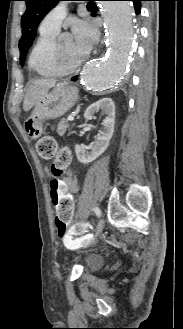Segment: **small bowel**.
Here are the masks:
<instances>
[{
    "label": "small bowel",
    "mask_w": 183,
    "mask_h": 329,
    "mask_svg": "<svg viewBox=\"0 0 183 329\" xmlns=\"http://www.w3.org/2000/svg\"><path fill=\"white\" fill-rule=\"evenodd\" d=\"M47 189L54 208V218H75L77 201L75 193L78 192L79 186L75 179L67 177L49 178ZM84 237L69 236L62 240L68 249H76Z\"/></svg>",
    "instance_id": "c3829d8e"
}]
</instances>
